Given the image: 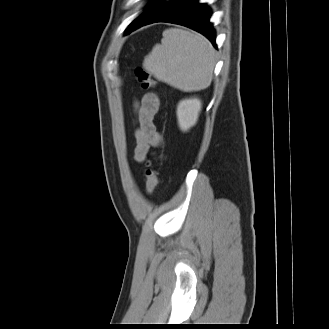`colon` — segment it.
<instances>
[{
  "label": "colon",
  "mask_w": 329,
  "mask_h": 329,
  "mask_svg": "<svg viewBox=\"0 0 329 329\" xmlns=\"http://www.w3.org/2000/svg\"><path fill=\"white\" fill-rule=\"evenodd\" d=\"M135 78L143 89H151L155 87V81L150 73L143 68L135 69ZM158 171L153 160H148L146 163V187L145 192L151 195L158 185Z\"/></svg>",
  "instance_id": "5ec220e1"
}]
</instances>
